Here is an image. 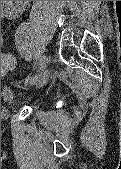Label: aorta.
<instances>
[{"label": "aorta", "mask_w": 121, "mask_h": 169, "mask_svg": "<svg viewBox=\"0 0 121 169\" xmlns=\"http://www.w3.org/2000/svg\"><path fill=\"white\" fill-rule=\"evenodd\" d=\"M13 1H1V5L3 4H15L16 7H20L23 6L25 3H27L28 1H14L15 3H12ZM7 6V5H6Z\"/></svg>", "instance_id": "aorta-1"}]
</instances>
